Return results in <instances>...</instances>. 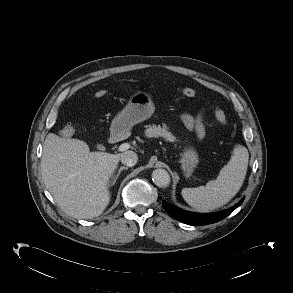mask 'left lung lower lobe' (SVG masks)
Here are the masks:
<instances>
[{"mask_svg":"<svg viewBox=\"0 0 293 293\" xmlns=\"http://www.w3.org/2000/svg\"><path fill=\"white\" fill-rule=\"evenodd\" d=\"M243 200L244 199H242L238 204H236L234 207L228 210L212 214L190 213L184 210H180L171 204H168L165 200L162 202V204L165 211L171 217L175 218L178 221H181L188 225H206L218 222L226 216H228L232 211H234L237 207H239L242 204Z\"/></svg>","mask_w":293,"mask_h":293,"instance_id":"0a47b994","label":"left lung lower lobe"}]
</instances>
